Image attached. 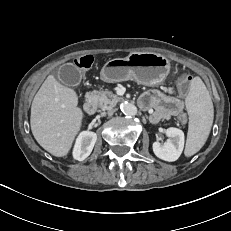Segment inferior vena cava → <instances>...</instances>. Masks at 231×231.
Wrapping results in <instances>:
<instances>
[{"instance_id": "1", "label": "inferior vena cava", "mask_w": 231, "mask_h": 231, "mask_svg": "<svg viewBox=\"0 0 231 231\" xmlns=\"http://www.w3.org/2000/svg\"><path fill=\"white\" fill-rule=\"evenodd\" d=\"M114 112H115L114 109H109L108 112H107V114H108L109 116H112V115L114 114Z\"/></svg>"}]
</instances>
